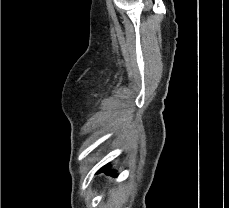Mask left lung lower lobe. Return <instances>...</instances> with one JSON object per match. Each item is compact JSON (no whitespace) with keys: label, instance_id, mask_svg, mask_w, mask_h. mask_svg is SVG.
Wrapping results in <instances>:
<instances>
[{"label":"left lung lower lobe","instance_id":"0a47b994","mask_svg":"<svg viewBox=\"0 0 229 208\" xmlns=\"http://www.w3.org/2000/svg\"><path fill=\"white\" fill-rule=\"evenodd\" d=\"M101 172H104V173H107V174H110V166L109 165H106L104 167H102L97 173H101ZM112 176H117L116 173H111Z\"/></svg>","mask_w":229,"mask_h":208}]
</instances>
